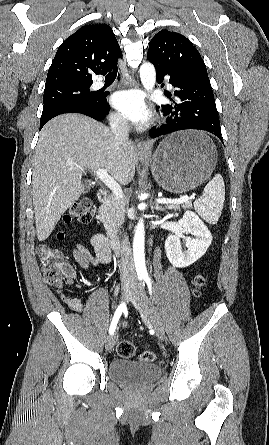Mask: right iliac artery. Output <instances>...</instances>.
Here are the masks:
<instances>
[{
	"label": "right iliac artery",
	"instance_id": "obj_1",
	"mask_svg": "<svg viewBox=\"0 0 269 445\" xmlns=\"http://www.w3.org/2000/svg\"><path fill=\"white\" fill-rule=\"evenodd\" d=\"M124 311H126V304H125V302L121 303V304L117 307V309H116V311H115V313H114L112 322H111L110 327H109V334H110V335H112V334L114 333V331H115V329H116V326H117V323H118V321H119V318H120V316L122 315V313H123Z\"/></svg>",
	"mask_w": 269,
	"mask_h": 445
}]
</instances>
